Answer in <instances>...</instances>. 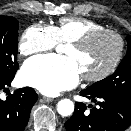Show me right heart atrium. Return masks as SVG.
<instances>
[{
	"label": "right heart atrium",
	"instance_id": "obj_1",
	"mask_svg": "<svg viewBox=\"0 0 131 131\" xmlns=\"http://www.w3.org/2000/svg\"><path fill=\"white\" fill-rule=\"evenodd\" d=\"M59 43L53 26L34 23L28 26L19 42L18 50L23 56L49 51Z\"/></svg>",
	"mask_w": 131,
	"mask_h": 131
}]
</instances>
